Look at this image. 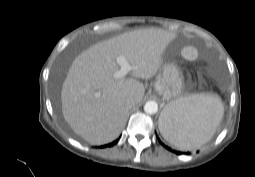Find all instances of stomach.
Wrapping results in <instances>:
<instances>
[{
    "instance_id": "0dacf381",
    "label": "stomach",
    "mask_w": 255,
    "mask_h": 177,
    "mask_svg": "<svg viewBox=\"0 0 255 177\" xmlns=\"http://www.w3.org/2000/svg\"><path fill=\"white\" fill-rule=\"evenodd\" d=\"M155 91L170 103L183 95L184 79L177 65L165 63L162 65L154 85ZM166 111V109H164ZM163 119L160 120V123Z\"/></svg>"
}]
</instances>
